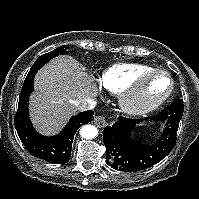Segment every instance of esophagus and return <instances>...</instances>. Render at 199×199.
Wrapping results in <instances>:
<instances>
[{
    "mask_svg": "<svg viewBox=\"0 0 199 199\" xmlns=\"http://www.w3.org/2000/svg\"><path fill=\"white\" fill-rule=\"evenodd\" d=\"M94 124L98 128H103L107 124V119H106V117L104 115H96L94 117Z\"/></svg>",
    "mask_w": 199,
    "mask_h": 199,
    "instance_id": "1",
    "label": "esophagus"
}]
</instances>
